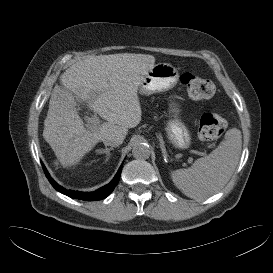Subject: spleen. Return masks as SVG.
Instances as JSON below:
<instances>
[{
  "instance_id": "obj_1",
  "label": "spleen",
  "mask_w": 273,
  "mask_h": 273,
  "mask_svg": "<svg viewBox=\"0 0 273 273\" xmlns=\"http://www.w3.org/2000/svg\"><path fill=\"white\" fill-rule=\"evenodd\" d=\"M241 148V131L229 129L224 140L208 156L197 159L188 169L171 172L172 181L192 199L207 198L228 183L239 162Z\"/></svg>"
}]
</instances>
